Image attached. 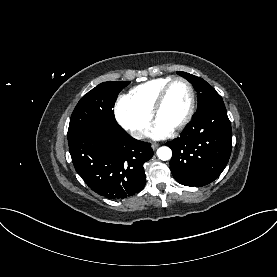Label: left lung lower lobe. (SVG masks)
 <instances>
[{
    "mask_svg": "<svg viewBox=\"0 0 277 277\" xmlns=\"http://www.w3.org/2000/svg\"><path fill=\"white\" fill-rule=\"evenodd\" d=\"M172 149L170 169L185 186L201 187L214 181L226 167L232 130L222 99L198 111L180 137L166 143Z\"/></svg>",
    "mask_w": 277,
    "mask_h": 277,
    "instance_id": "left-lung-lower-lobe-1",
    "label": "left lung lower lobe"
}]
</instances>
